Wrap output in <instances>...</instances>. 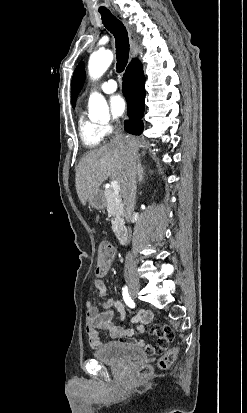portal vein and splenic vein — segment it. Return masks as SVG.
Returning a JSON list of instances; mask_svg holds the SVG:
<instances>
[{"instance_id": "portal-vein-and-splenic-vein-1", "label": "portal vein and splenic vein", "mask_w": 247, "mask_h": 413, "mask_svg": "<svg viewBox=\"0 0 247 413\" xmlns=\"http://www.w3.org/2000/svg\"><path fill=\"white\" fill-rule=\"evenodd\" d=\"M110 188H112V190H114L115 194H119L120 184H119L118 180H112V182L110 184Z\"/></svg>"}]
</instances>
